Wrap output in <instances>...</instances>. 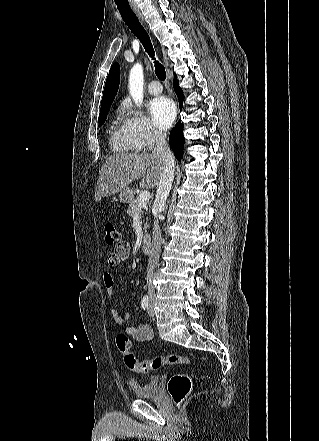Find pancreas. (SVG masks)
<instances>
[{"label": "pancreas", "mask_w": 319, "mask_h": 441, "mask_svg": "<svg viewBox=\"0 0 319 441\" xmlns=\"http://www.w3.org/2000/svg\"><path fill=\"white\" fill-rule=\"evenodd\" d=\"M142 209H143V206L139 205V198H136V199L130 201V204H129L128 208H127V214L129 216L133 217L136 214H141L142 213ZM147 227H148V224L145 223L144 229L146 230Z\"/></svg>", "instance_id": "1"}]
</instances>
